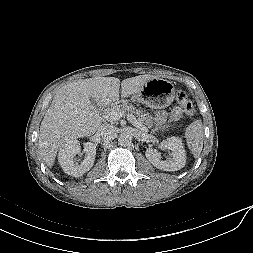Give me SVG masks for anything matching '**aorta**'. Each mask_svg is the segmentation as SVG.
<instances>
[{
    "mask_svg": "<svg viewBox=\"0 0 253 253\" xmlns=\"http://www.w3.org/2000/svg\"><path fill=\"white\" fill-rule=\"evenodd\" d=\"M131 142V136L127 133H121L118 136V143L121 146H126L128 144H130Z\"/></svg>",
    "mask_w": 253,
    "mask_h": 253,
    "instance_id": "1",
    "label": "aorta"
}]
</instances>
